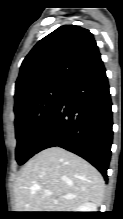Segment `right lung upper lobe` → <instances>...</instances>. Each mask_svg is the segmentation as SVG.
<instances>
[{
	"instance_id": "obj_1",
	"label": "right lung upper lobe",
	"mask_w": 123,
	"mask_h": 219,
	"mask_svg": "<svg viewBox=\"0 0 123 219\" xmlns=\"http://www.w3.org/2000/svg\"><path fill=\"white\" fill-rule=\"evenodd\" d=\"M100 56L88 29L75 25L59 27L41 39L23 60L16 81L15 102L38 89L66 85Z\"/></svg>"
}]
</instances>
